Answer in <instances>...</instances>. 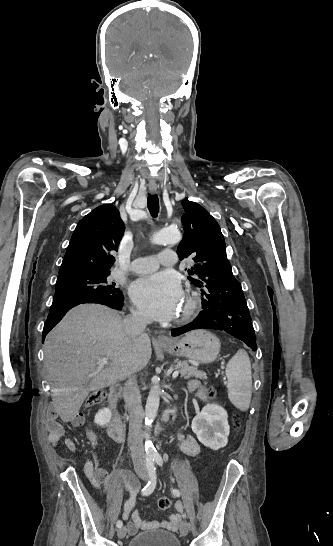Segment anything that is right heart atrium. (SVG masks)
Here are the masks:
<instances>
[{"instance_id":"d8ad5b80","label":"right heart atrium","mask_w":333,"mask_h":546,"mask_svg":"<svg viewBox=\"0 0 333 546\" xmlns=\"http://www.w3.org/2000/svg\"><path fill=\"white\" fill-rule=\"evenodd\" d=\"M132 312H133L135 317L142 318V314L140 313V311H138L136 309H133Z\"/></svg>"}]
</instances>
